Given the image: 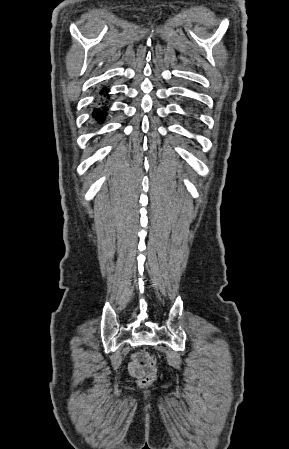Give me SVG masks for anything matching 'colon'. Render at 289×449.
I'll return each instance as SVG.
<instances>
[{
    "label": "colon",
    "instance_id": "1",
    "mask_svg": "<svg viewBox=\"0 0 289 449\" xmlns=\"http://www.w3.org/2000/svg\"><path fill=\"white\" fill-rule=\"evenodd\" d=\"M146 359L148 364L153 367L154 370L138 379V384L142 387L151 385L157 377V358L152 354H147Z\"/></svg>",
    "mask_w": 289,
    "mask_h": 449
}]
</instances>
